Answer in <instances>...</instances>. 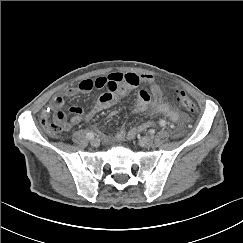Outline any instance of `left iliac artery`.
Wrapping results in <instances>:
<instances>
[{
  "mask_svg": "<svg viewBox=\"0 0 243 243\" xmlns=\"http://www.w3.org/2000/svg\"><path fill=\"white\" fill-rule=\"evenodd\" d=\"M159 125L161 127L165 126L166 125V121L165 120H160Z\"/></svg>",
  "mask_w": 243,
  "mask_h": 243,
  "instance_id": "obj_1",
  "label": "left iliac artery"
}]
</instances>
